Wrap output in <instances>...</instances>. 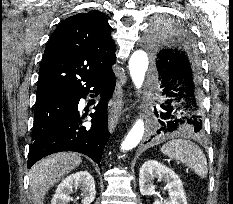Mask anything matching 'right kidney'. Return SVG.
Returning <instances> with one entry per match:
<instances>
[{
    "mask_svg": "<svg viewBox=\"0 0 233 204\" xmlns=\"http://www.w3.org/2000/svg\"><path fill=\"white\" fill-rule=\"evenodd\" d=\"M81 191L82 203L91 204L95 199V183L88 171H79L67 176L58 185L51 204H68L73 191Z\"/></svg>",
    "mask_w": 233,
    "mask_h": 204,
    "instance_id": "ca27d5eb",
    "label": "right kidney"
}]
</instances>
